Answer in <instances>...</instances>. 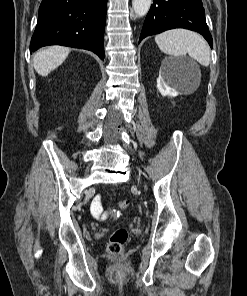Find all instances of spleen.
Masks as SVG:
<instances>
[{
  "label": "spleen",
  "mask_w": 247,
  "mask_h": 296,
  "mask_svg": "<svg viewBox=\"0 0 247 296\" xmlns=\"http://www.w3.org/2000/svg\"><path fill=\"white\" fill-rule=\"evenodd\" d=\"M160 50L174 57L188 54L203 66L210 63L209 46L199 34L185 30L172 29L155 36Z\"/></svg>",
  "instance_id": "3e777b00"
}]
</instances>
